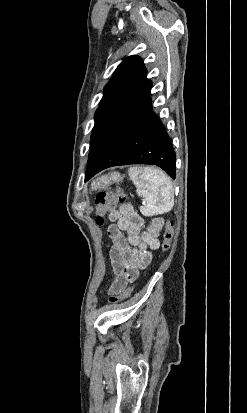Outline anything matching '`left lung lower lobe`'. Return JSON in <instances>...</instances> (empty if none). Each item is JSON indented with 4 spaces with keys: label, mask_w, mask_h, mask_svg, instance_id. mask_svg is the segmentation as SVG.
I'll list each match as a JSON object with an SVG mask.
<instances>
[{
    "label": "left lung lower lobe",
    "mask_w": 247,
    "mask_h": 413,
    "mask_svg": "<svg viewBox=\"0 0 247 413\" xmlns=\"http://www.w3.org/2000/svg\"><path fill=\"white\" fill-rule=\"evenodd\" d=\"M150 89L92 146L85 181L105 168L128 164H155L176 178V155L170 137L152 110Z\"/></svg>",
    "instance_id": "1"
}]
</instances>
